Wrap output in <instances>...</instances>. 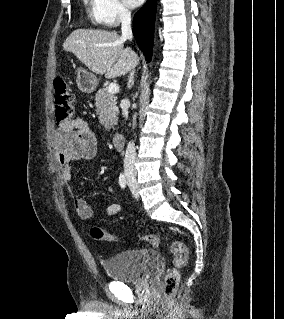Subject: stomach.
Returning <instances> with one entry per match:
<instances>
[{"label":"stomach","mask_w":284,"mask_h":319,"mask_svg":"<svg viewBox=\"0 0 284 319\" xmlns=\"http://www.w3.org/2000/svg\"><path fill=\"white\" fill-rule=\"evenodd\" d=\"M78 88L84 93H92L97 85V77L83 68H79L76 74Z\"/></svg>","instance_id":"stomach-1"}]
</instances>
